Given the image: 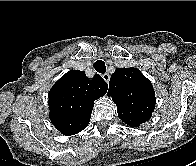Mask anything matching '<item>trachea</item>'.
I'll return each mask as SVG.
<instances>
[{
  "instance_id": "1",
  "label": "trachea",
  "mask_w": 196,
  "mask_h": 166,
  "mask_svg": "<svg viewBox=\"0 0 196 166\" xmlns=\"http://www.w3.org/2000/svg\"><path fill=\"white\" fill-rule=\"evenodd\" d=\"M94 68L97 72L103 74L106 72V65L104 63V61L102 60H97L95 63H94Z\"/></svg>"
}]
</instances>
